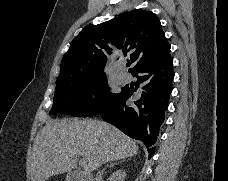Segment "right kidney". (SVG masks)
Here are the masks:
<instances>
[{
    "label": "right kidney",
    "instance_id": "obj_1",
    "mask_svg": "<svg viewBox=\"0 0 228 181\" xmlns=\"http://www.w3.org/2000/svg\"><path fill=\"white\" fill-rule=\"evenodd\" d=\"M125 177V171H116V173H113V175H111L108 181H125Z\"/></svg>",
    "mask_w": 228,
    "mask_h": 181
}]
</instances>
